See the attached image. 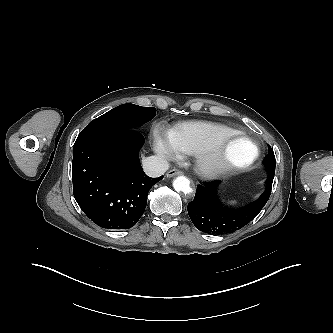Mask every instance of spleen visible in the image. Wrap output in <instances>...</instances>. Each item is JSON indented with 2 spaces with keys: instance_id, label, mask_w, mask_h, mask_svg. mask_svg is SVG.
I'll return each instance as SVG.
<instances>
[{
  "instance_id": "spleen-1",
  "label": "spleen",
  "mask_w": 333,
  "mask_h": 333,
  "mask_svg": "<svg viewBox=\"0 0 333 333\" xmlns=\"http://www.w3.org/2000/svg\"><path fill=\"white\" fill-rule=\"evenodd\" d=\"M231 203H232V204H236L237 201H236V200H232Z\"/></svg>"
}]
</instances>
